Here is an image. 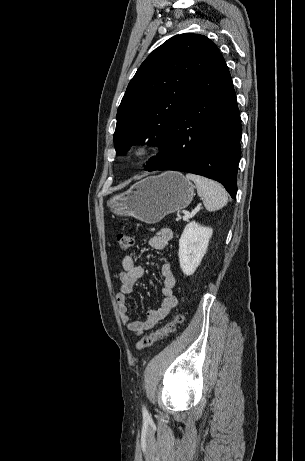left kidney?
Instances as JSON below:
<instances>
[{
    "instance_id": "left-kidney-1",
    "label": "left kidney",
    "mask_w": 305,
    "mask_h": 461,
    "mask_svg": "<svg viewBox=\"0 0 305 461\" xmlns=\"http://www.w3.org/2000/svg\"><path fill=\"white\" fill-rule=\"evenodd\" d=\"M212 234V228L201 226L195 221L186 225L179 239L178 253L184 274L192 275L200 265Z\"/></svg>"
}]
</instances>
